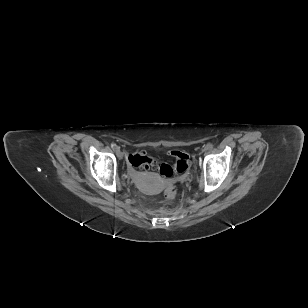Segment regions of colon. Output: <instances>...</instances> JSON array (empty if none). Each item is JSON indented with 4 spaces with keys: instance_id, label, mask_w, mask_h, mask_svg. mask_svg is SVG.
I'll use <instances>...</instances> for the list:
<instances>
[{
    "instance_id": "obj_1",
    "label": "colon",
    "mask_w": 308,
    "mask_h": 308,
    "mask_svg": "<svg viewBox=\"0 0 308 308\" xmlns=\"http://www.w3.org/2000/svg\"><path fill=\"white\" fill-rule=\"evenodd\" d=\"M170 154L175 158L176 162L173 165L161 164L158 166L160 173L166 177H170L173 173L182 172L188 167L189 157L182 151H171ZM129 161L132 165L139 168H149L154 165V162L145 152H137L130 156ZM164 195L167 199H174L177 196V188L173 184H169Z\"/></svg>"
}]
</instances>
